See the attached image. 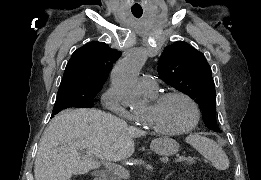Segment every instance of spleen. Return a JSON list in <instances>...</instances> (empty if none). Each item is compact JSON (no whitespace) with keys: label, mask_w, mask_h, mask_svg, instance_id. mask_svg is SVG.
<instances>
[{"label":"spleen","mask_w":261,"mask_h":180,"mask_svg":"<svg viewBox=\"0 0 261 180\" xmlns=\"http://www.w3.org/2000/svg\"><path fill=\"white\" fill-rule=\"evenodd\" d=\"M186 142L191 144L206 160H210L213 168H216V170H227L229 168L228 156L214 140L205 138V136H198V134H192V136L186 138Z\"/></svg>","instance_id":"obj_1"}]
</instances>
